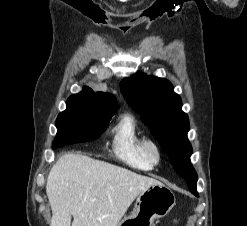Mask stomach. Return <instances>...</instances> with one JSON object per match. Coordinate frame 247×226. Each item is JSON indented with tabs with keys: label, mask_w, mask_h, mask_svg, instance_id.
<instances>
[{
	"label": "stomach",
	"mask_w": 247,
	"mask_h": 226,
	"mask_svg": "<svg viewBox=\"0 0 247 226\" xmlns=\"http://www.w3.org/2000/svg\"><path fill=\"white\" fill-rule=\"evenodd\" d=\"M176 204L174 193L164 184L151 185L137 197L134 211L117 226H154L156 219L166 216Z\"/></svg>",
	"instance_id": "stomach-1"
}]
</instances>
